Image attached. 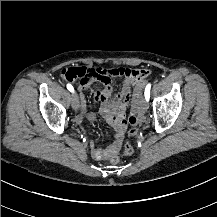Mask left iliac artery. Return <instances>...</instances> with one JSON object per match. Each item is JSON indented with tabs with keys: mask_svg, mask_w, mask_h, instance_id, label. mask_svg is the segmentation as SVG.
<instances>
[{
	"mask_svg": "<svg viewBox=\"0 0 217 217\" xmlns=\"http://www.w3.org/2000/svg\"><path fill=\"white\" fill-rule=\"evenodd\" d=\"M150 89H151V84L149 83L146 88H145V92H144V95H145V99L147 101H149V98H150Z\"/></svg>",
	"mask_w": 217,
	"mask_h": 217,
	"instance_id": "1",
	"label": "left iliac artery"
}]
</instances>
